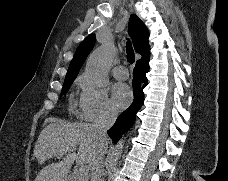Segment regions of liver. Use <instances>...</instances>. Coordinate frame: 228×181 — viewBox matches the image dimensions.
<instances>
[{
    "mask_svg": "<svg viewBox=\"0 0 228 181\" xmlns=\"http://www.w3.org/2000/svg\"><path fill=\"white\" fill-rule=\"evenodd\" d=\"M49 125L41 131L34 149L38 165L57 155H66L63 161L43 167L35 181H67L68 173L74 165L92 163L100 151L107 149L111 141L99 139L90 123H64L60 119H49ZM79 147L77 155L68 149Z\"/></svg>",
    "mask_w": 228,
    "mask_h": 181,
    "instance_id": "6515ba94",
    "label": "liver"
}]
</instances>
